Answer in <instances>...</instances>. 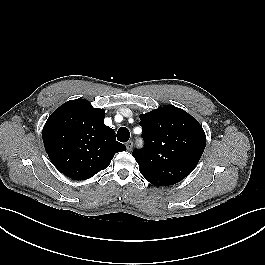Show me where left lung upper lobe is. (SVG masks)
Returning <instances> with one entry per match:
<instances>
[{
	"label": "left lung upper lobe",
	"instance_id": "left-lung-upper-lobe-1",
	"mask_svg": "<svg viewBox=\"0 0 265 265\" xmlns=\"http://www.w3.org/2000/svg\"><path fill=\"white\" fill-rule=\"evenodd\" d=\"M140 120L145 147L132 153L140 173L155 186L183 180L198 164L205 149L202 126L172 105L141 114Z\"/></svg>",
	"mask_w": 265,
	"mask_h": 265
}]
</instances>
